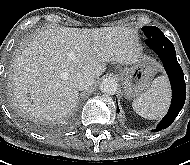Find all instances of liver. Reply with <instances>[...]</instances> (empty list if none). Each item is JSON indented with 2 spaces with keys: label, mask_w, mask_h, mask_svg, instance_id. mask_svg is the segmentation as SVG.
<instances>
[{
  "label": "liver",
  "mask_w": 190,
  "mask_h": 165,
  "mask_svg": "<svg viewBox=\"0 0 190 165\" xmlns=\"http://www.w3.org/2000/svg\"><path fill=\"white\" fill-rule=\"evenodd\" d=\"M134 32L125 27L50 28L27 40L10 70L12 102L23 115L48 121L74 109L78 89L74 76L98 78L106 63L140 61Z\"/></svg>",
  "instance_id": "1"
}]
</instances>
